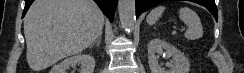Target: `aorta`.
<instances>
[{
	"mask_svg": "<svg viewBox=\"0 0 244 73\" xmlns=\"http://www.w3.org/2000/svg\"><path fill=\"white\" fill-rule=\"evenodd\" d=\"M118 13L123 29L131 32L135 26V0H119Z\"/></svg>",
	"mask_w": 244,
	"mask_h": 73,
	"instance_id": "aorta-1",
	"label": "aorta"
}]
</instances>
